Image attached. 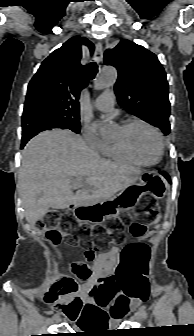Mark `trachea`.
<instances>
[{
	"label": "trachea",
	"mask_w": 194,
	"mask_h": 336,
	"mask_svg": "<svg viewBox=\"0 0 194 336\" xmlns=\"http://www.w3.org/2000/svg\"><path fill=\"white\" fill-rule=\"evenodd\" d=\"M98 72V66L96 64V62H91L88 66V75L90 79H94V77L96 76Z\"/></svg>",
	"instance_id": "1"
}]
</instances>
